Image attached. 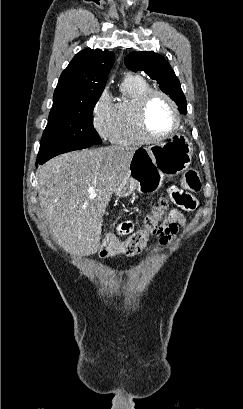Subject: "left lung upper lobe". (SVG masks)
<instances>
[{"label": "left lung upper lobe", "mask_w": 243, "mask_h": 409, "mask_svg": "<svg viewBox=\"0 0 243 409\" xmlns=\"http://www.w3.org/2000/svg\"><path fill=\"white\" fill-rule=\"evenodd\" d=\"M125 64L128 69L144 71L156 80L162 91L175 101L181 113H187L186 99L179 79L163 56L153 51L132 52L125 58Z\"/></svg>", "instance_id": "5c2ea615"}]
</instances>
